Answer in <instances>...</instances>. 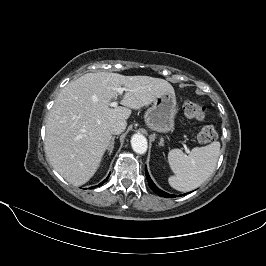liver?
I'll return each mask as SVG.
<instances>
[{
	"mask_svg": "<svg viewBox=\"0 0 266 266\" xmlns=\"http://www.w3.org/2000/svg\"><path fill=\"white\" fill-rule=\"evenodd\" d=\"M123 86V106L110 108ZM164 94L175 95L172 85L150 76L87 73L68 83L55 99L46 121L45 153L53 168L70 184L88 182L100 166L112 136L109 124L126 120Z\"/></svg>",
	"mask_w": 266,
	"mask_h": 266,
	"instance_id": "6515ba94",
	"label": "liver"
}]
</instances>
